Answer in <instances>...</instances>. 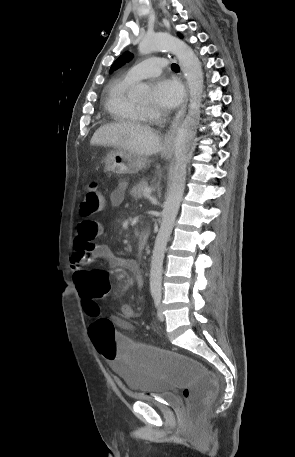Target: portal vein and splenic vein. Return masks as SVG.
I'll return each mask as SVG.
<instances>
[{
  "mask_svg": "<svg viewBox=\"0 0 295 457\" xmlns=\"http://www.w3.org/2000/svg\"><path fill=\"white\" fill-rule=\"evenodd\" d=\"M143 194H144L145 197L150 196V194H151V188H148V187L145 188Z\"/></svg>",
  "mask_w": 295,
  "mask_h": 457,
  "instance_id": "portal-vein-and-splenic-vein-1",
  "label": "portal vein and splenic vein"
}]
</instances>
